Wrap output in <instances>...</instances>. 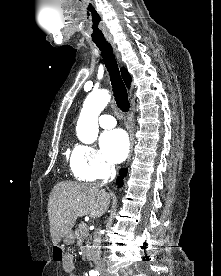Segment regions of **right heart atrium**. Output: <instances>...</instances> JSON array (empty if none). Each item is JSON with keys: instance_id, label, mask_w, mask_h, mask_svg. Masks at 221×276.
Returning <instances> with one entry per match:
<instances>
[{"instance_id": "1", "label": "right heart atrium", "mask_w": 221, "mask_h": 276, "mask_svg": "<svg viewBox=\"0 0 221 276\" xmlns=\"http://www.w3.org/2000/svg\"><path fill=\"white\" fill-rule=\"evenodd\" d=\"M71 168L81 180L93 181L109 176L114 167L93 146L77 145L71 155Z\"/></svg>"}]
</instances>
